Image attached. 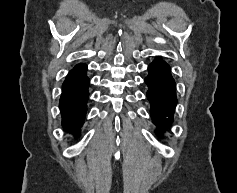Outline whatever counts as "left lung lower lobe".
<instances>
[{"label": "left lung lower lobe", "instance_id": "1", "mask_svg": "<svg viewBox=\"0 0 237 193\" xmlns=\"http://www.w3.org/2000/svg\"><path fill=\"white\" fill-rule=\"evenodd\" d=\"M149 75L145 78L148 86L147 98L151 104L150 114L158 127V135L172 123L177 104L175 81L169 65L161 59L154 60L148 67Z\"/></svg>", "mask_w": 237, "mask_h": 193}]
</instances>
